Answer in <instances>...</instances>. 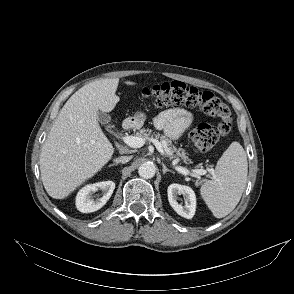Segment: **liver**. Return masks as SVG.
Here are the masks:
<instances>
[{"label": "liver", "instance_id": "obj_1", "mask_svg": "<svg viewBox=\"0 0 294 294\" xmlns=\"http://www.w3.org/2000/svg\"><path fill=\"white\" fill-rule=\"evenodd\" d=\"M119 79L84 85L65 103L40 154V172L49 196L64 199L111 159L114 147L102 132L98 112H111L120 98ZM127 85H135L126 81Z\"/></svg>", "mask_w": 294, "mask_h": 294}]
</instances>
